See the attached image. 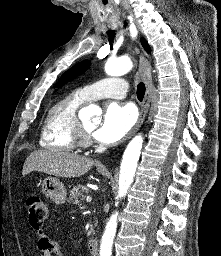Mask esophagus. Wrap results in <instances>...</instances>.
Segmentation results:
<instances>
[{
	"label": "esophagus",
	"mask_w": 221,
	"mask_h": 256,
	"mask_svg": "<svg viewBox=\"0 0 221 256\" xmlns=\"http://www.w3.org/2000/svg\"><path fill=\"white\" fill-rule=\"evenodd\" d=\"M140 74H141V77L144 80L145 85H146V93H145V97H144V100L141 105L139 119H138L136 125L134 126V128L127 135L125 140L129 139L136 131L139 130V128L143 124L144 119L148 113V109H149L150 102H151V94H152L151 66H150V62L145 53H141V55H140Z\"/></svg>",
	"instance_id": "obj_1"
}]
</instances>
